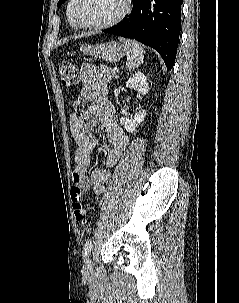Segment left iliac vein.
Listing matches in <instances>:
<instances>
[{"label":"left iliac vein","mask_w":239,"mask_h":303,"mask_svg":"<svg viewBox=\"0 0 239 303\" xmlns=\"http://www.w3.org/2000/svg\"><path fill=\"white\" fill-rule=\"evenodd\" d=\"M84 267L86 270H91L93 268L92 260L90 257H87L84 261Z\"/></svg>","instance_id":"4c4485c4"}]
</instances>
